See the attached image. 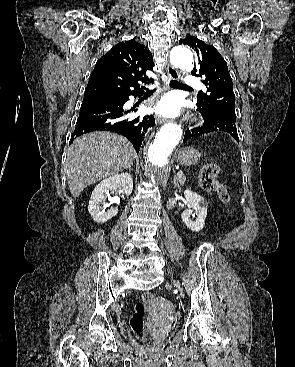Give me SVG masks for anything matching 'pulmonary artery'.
<instances>
[{
	"label": "pulmonary artery",
	"mask_w": 295,
	"mask_h": 367,
	"mask_svg": "<svg viewBox=\"0 0 295 367\" xmlns=\"http://www.w3.org/2000/svg\"><path fill=\"white\" fill-rule=\"evenodd\" d=\"M185 85L190 87V88H198V89H203L204 85L201 83V81L194 77V76H187L184 80Z\"/></svg>",
	"instance_id": "obj_1"
}]
</instances>
